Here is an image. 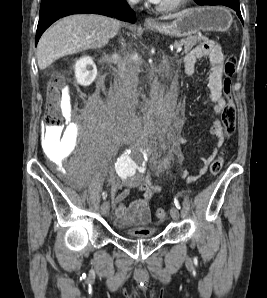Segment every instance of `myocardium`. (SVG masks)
Returning <instances> with one entry per match:
<instances>
[{"label":"myocardium","mask_w":267,"mask_h":298,"mask_svg":"<svg viewBox=\"0 0 267 298\" xmlns=\"http://www.w3.org/2000/svg\"><path fill=\"white\" fill-rule=\"evenodd\" d=\"M189 0H177L170 5L157 4L156 8L162 13H175L181 10Z\"/></svg>","instance_id":"1"}]
</instances>
